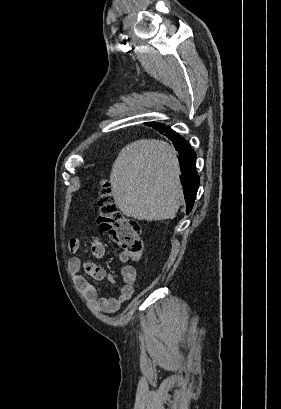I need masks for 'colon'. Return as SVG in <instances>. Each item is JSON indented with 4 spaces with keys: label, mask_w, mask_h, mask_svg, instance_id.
Instances as JSON below:
<instances>
[{
    "label": "colon",
    "mask_w": 281,
    "mask_h": 409,
    "mask_svg": "<svg viewBox=\"0 0 281 409\" xmlns=\"http://www.w3.org/2000/svg\"><path fill=\"white\" fill-rule=\"evenodd\" d=\"M97 208V224L100 229L115 240L125 258L140 260L144 249L140 225L118 209L114 196L108 189L101 190Z\"/></svg>",
    "instance_id": "colon-1"
}]
</instances>
